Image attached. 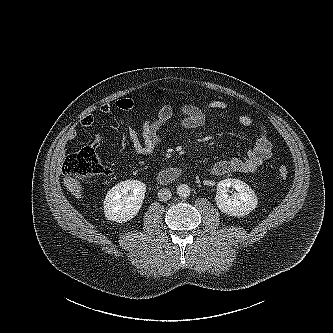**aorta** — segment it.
<instances>
[{
    "label": "aorta",
    "instance_id": "762f6f07",
    "mask_svg": "<svg viewBox=\"0 0 333 333\" xmlns=\"http://www.w3.org/2000/svg\"><path fill=\"white\" fill-rule=\"evenodd\" d=\"M177 194L182 198L190 196V187L186 184H181L177 187Z\"/></svg>",
    "mask_w": 333,
    "mask_h": 333
}]
</instances>
